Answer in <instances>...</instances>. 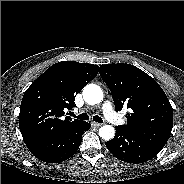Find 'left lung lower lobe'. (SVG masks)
I'll return each instance as SVG.
<instances>
[{"instance_id": "0a47b994", "label": "left lung lower lobe", "mask_w": 184, "mask_h": 184, "mask_svg": "<svg viewBox=\"0 0 184 184\" xmlns=\"http://www.w3.org/2000/svg\"><path fill=\"white\" fill-rule=\"evenodd\" d=\"M106 146L116 158L133 164L146 162L161 150L121 126H116V135Z\"/></svg>"}]
</instances>
